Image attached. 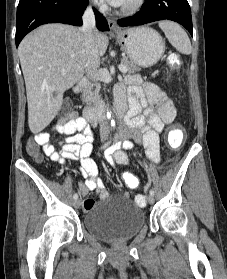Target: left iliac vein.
<instances>
[{
	"mask_svg": "<svg viewBox=\"0 0 227 279\" xmlns=\"http://www.w3.org/2000/svg\"><path fill=\"white\" fill-rule=\"evenodd\" d=\"M147 201H148V203L149 204H153L154 203V201H155V198H154V196L153 195H148V197H147Z\"/></svg>",
	"mask_w": 227,
	"mask_h": 279,
	"instance_id": "obj_1",
	"label": "left iliac vein"
}]
</instances>
